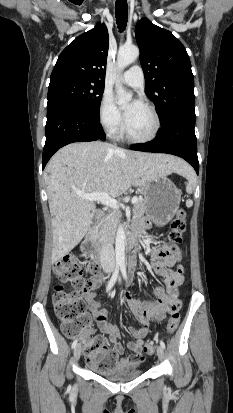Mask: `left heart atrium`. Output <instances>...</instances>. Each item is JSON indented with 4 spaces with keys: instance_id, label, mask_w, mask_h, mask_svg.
Wrapping results in <instances>:
<instances>
[{
    "instance_id": "left-heart-atrium-1",
    "label": "left heart atrium",
    "mask_w": 233,
    "mask_h": 413,
    "mask_svg": "<svg viewBox=\"0 0 233 413\" xmlns=\"http://www.w3.org/2000/svg\"><path fill=\"white\" fill-rule=\"evenodd\" d=\"M142 105V102L140 100H134L130 104V108L125 112V118L126 120L132 115V113L137 110L140 106Z\"/></svg>"
}]
</instances>
